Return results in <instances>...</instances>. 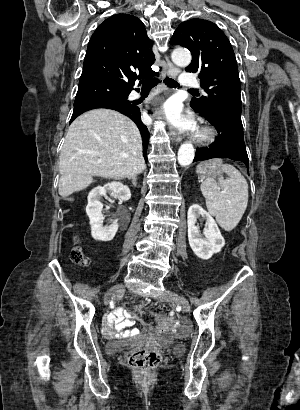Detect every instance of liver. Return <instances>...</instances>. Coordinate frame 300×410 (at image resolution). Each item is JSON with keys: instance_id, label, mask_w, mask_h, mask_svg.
Returning <instances> with one entry per match:
<instances>
[{"instance_id": "1", "label": "liver", "mask_w": 300, "mask_h": 410, "mask_svg": "<svg viewBox=\"0 0 300 410\" xmlns=\"http://www.w3.org/2000/svg\"><path fill=\"white\" fill-rule=\"evenodd\" d=\"M146 168L137 126L110 109L90 110L70 125L59 157V194L86 189L93 177L124 179Z\"/></svg>"}]
</instances>
